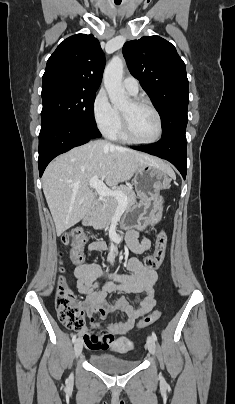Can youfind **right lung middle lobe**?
I'll list each match as a JSON object with an SVG mask.
<instances>
[{"instance_id":"obj_1","label":"right lung middle lobe","mask_w":235,"mask_h":404,"mask_svg":"<svg viewBox=\"0 0 235 404\" xmlns=\"http://www.w3.org/2000/svg\"><path fill=\"white\" fill-rule=\"evenodd\" d=\"M41 125L71 122L96 128L94 100L96 91H85L64 84L42 86Z\"/></svg>"}]
</instances>
